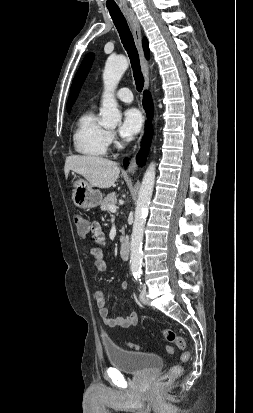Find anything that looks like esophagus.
<instances>
[{
    "instance_id": "34e87169",
    "label": "esophagus",
    "mask_w": 253,
    "mask_h": 413,
    "mask_svg": "<svg viewBox=\"0 0 253 413\" xmlns=\"http://www.w3.org/2000/svg\"><path fill=\"white\" fill-rule=\"evenodd\" d=\"M125 15L130 23V26L132 28L133 31V35L135 38V42L139 51V55H140V61H141V67H142V72H143V76H144V89L147 90L149 87V66H148V61L146 60L145 56H144V52H143V48H142V32H141V27H140V23L138 18L136 17V15L134 14V12L132 11H127L125 12ZM142 136L141 135L139 141H138V149L140 148V143L142 140ZM136 167V158L135 156L133 157L131 163H130V167H129V171H133Z\"/></svg>"
}]
</instances>
